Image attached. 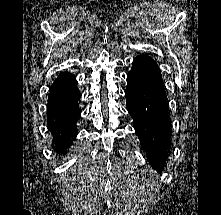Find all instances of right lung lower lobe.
Masks as SVG:
<instances>
[{"label": "right lung lower lobe", "instance_id": "1", "mask_svg": "<svg viewBox=\"0 0 221 215\" xmlns=\"http://www.w3.org/2000/svg\"><path fill=\"white\" fill-rule=\"evenodd\" d=\"M80 96L76 77L68 72L60 73L50 88L47 123L55 135L57 151H64L75 137Z\"/></svg>", "mask_w": 221, "mask_h": 215}]
</instances>
